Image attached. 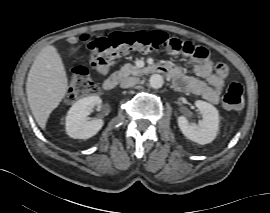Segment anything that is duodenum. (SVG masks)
Instances as JSON below:
<instances>
[{
	"instance_id": "obj_1",
	"label": "duodenum",
	"mask_w": 270,
	"mask_h": 213,
	"mask_svg": "<svg viewBox=\"0 0 270 213\" xmlns=\"http://www.w3.org/2000/svg\"><path fill=\"white\" fill-rule=\"evenodd\" d=\"M151 71L152 72H157V73L163 74V75L168 76V77L171 76L169 70L167 68L163 67V66L152 67L151 68ZM123 78H124V73L123 72H118L117 74L108 77L104 81L103 88L106 91H112V90H114L118 86L119 82Z\"/></svg>"
}]
</instances>
